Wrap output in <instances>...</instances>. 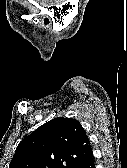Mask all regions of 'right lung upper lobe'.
<instances>
[{
	"instance_id": "obj_1",
	"label": "right lung upper lobe",
	"mask_w": 127,
	"mask_h": 168,
	"mask_svg": "<svg viewBox=\"0 0 127 168\" xmlns=\"http://www.w3.org/2000/svg\"><path fill=\"white\" fill-rule=\"evenodd\" d=\"M92 156L81 124L72 118L57 117L19 143L9 168H74Z\"/></svg>"
}]
</instances>
